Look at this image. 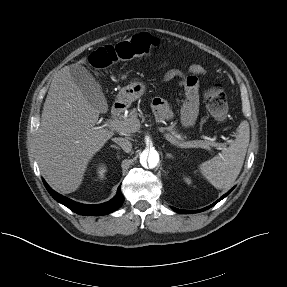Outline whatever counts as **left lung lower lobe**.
Returning a JSON list of instances; mask_svg holds the SVG:
<instances>
[{"instance_id": "0a47b994", "label": "left lung lower lobe", "mask_w": 287, "mask_h": 287, "mask_svg": "<svg viewBox=\"0 0 287 287\" xmlns=\"http://www.w3.org/2000/svg\"><path fill=\"white\" fill-rule=\"evenodd\" d=\"M232 191V189L228 192V193H226V194H224L222 197H221V199H223L224 197H226L230 192ZM221 199H219V200H217L215 203H213L212 205H210V206H208V207H206V208H203V209H200V210H195V211H193V210H181V209H177V208H174V207H172L175 211H177V212H180V213H184V214H191V213H197V212H201V211H204V210H206V209H209L210 207H212L213 205H215L217 202H219Z\"/></svg>"}]
</instances>
